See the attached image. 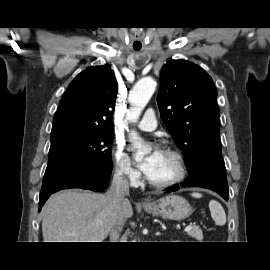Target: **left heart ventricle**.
<instances>
[{"label":"left heart ventricle","instance_id":"1","mask_svg":"<svg viewBox=\"0 0 270 270\" xmlns=\"http://www.w3.org/2000/svg\"><path fill=\"white\" fill-rule=\"evenodd\" d=\"M177 174L176 160L165 153H163L150 176L151 180L155 182H164L172 179Z\"/></svg>","mask_w":270,"mask_h":270}]
</instances>
